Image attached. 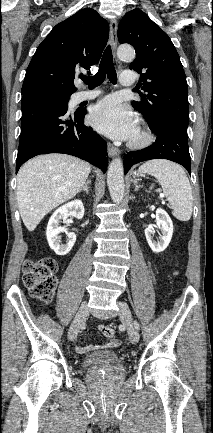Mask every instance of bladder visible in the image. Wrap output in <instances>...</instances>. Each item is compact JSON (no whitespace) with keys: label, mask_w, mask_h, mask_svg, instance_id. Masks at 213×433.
I'll use <instances>...</instances> for the list:
<instances>
[{"label":"bladder","mask_w":213,"mask_h":433,"mask_svg":"<svg viewBox=\"0 0 213 433\" xmlns=\"http://www.w3.org/2000/svg\"><path fill=\"white\" fill-rule=\"evenodd\" d=\"M120 361L115 351H98L87 355L83 359V366L86 369H95L104 366L117 364Z\"/></svg>","instance_id":"bladder-1"}]
</instances>
